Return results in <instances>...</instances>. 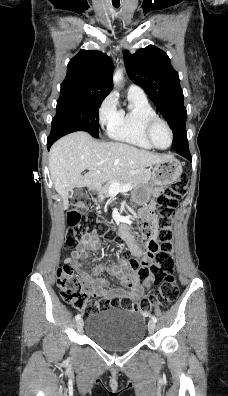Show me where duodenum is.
Returning a JSON list of instances; mask_svg holds the SVG:
<instances>
[{
    "label": "duodenum",
    "instance_id": "duodenum-1",
    "mask_svg": "<svg viewBox=\"0 0 228 396\" xmlns=\"http://www.w3.org/2000/svg\"><path fill=\"white\" fill-rule=\"evenodd\" d=\"M93 195L96 196V197H99L98 192H93Z\"/></svg>",
    "mask_w": 228,
    "mask_h": 396
}]
</instances>
